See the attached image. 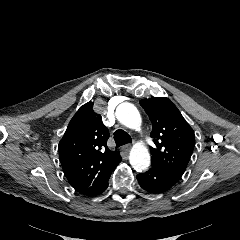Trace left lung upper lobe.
Returning <instances> with one entry per match:
<instances>
[{
  "mask_svg": "<svg viewBox=\"0 0 240 240\" xmlns=\"http://www.w3.org/2000/svg\"><path fill=\"white\" fill-rule=\"evenodd\" d=\"M140 104L153 125L151 137L157 148H151L152 165L162 168L179 181L195 145L193 129L166 97L143 99Z\"/></svg>",
  "mask_w": 240,
  "mask_h": 240,
  "instance_id": "5c2ea615",
  "label": "left lung upper lobe"
}]
</instances>
